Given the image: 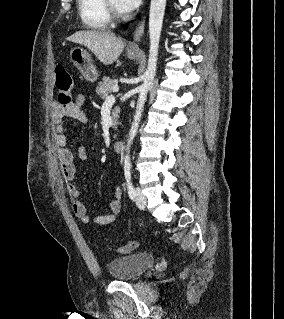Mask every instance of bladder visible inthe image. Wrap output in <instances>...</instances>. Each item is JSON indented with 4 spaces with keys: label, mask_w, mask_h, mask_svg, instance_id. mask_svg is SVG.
I'll use <instances>...</instances> for the list:
<instances>
[{
    "label": "bladder",
    "mask_w": 284,
    "mask_h": 319,
    "mask_svg": "<svg viewBox=\"0 0 284 319\" xmlns=\"http://www.w3.org/2000/svg\"><path fill=\"white\" fill-rule=\"evenodd\" d=\"M155 256L151 252H136L111 260L107 264L109 275L115 280H132L153 267Z\"/></svg>",
    "instance_id": "1"
}]
</instances>
